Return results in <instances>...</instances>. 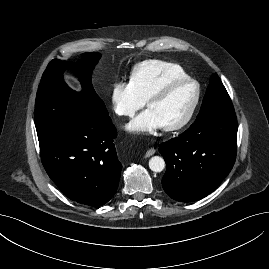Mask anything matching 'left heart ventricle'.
Instances as JSON below:
<instances>
[{
  "instance_id": "1",
  "label": "left heart ventricle",
  "mask_w": 269,
  "mask_h": 269,
  "mask_svg": "<svg viewBox=\"0 0 269 269\" xmlns=\"http://www.w3.org/2000/svg\"><path fill=\"white\" fill-rule=\"evenodd\" d=\"M195 96V86L185 84L173 89L165 98L148 106L163 127L178 123L186 115Z\"/></svg>"
}]
</instances>
